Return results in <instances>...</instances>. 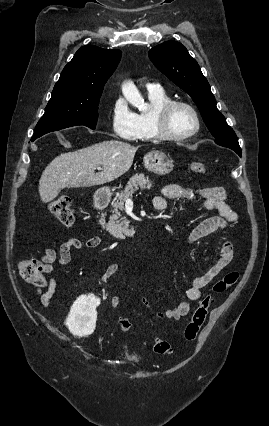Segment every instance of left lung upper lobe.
Here are the masks:
<instances>
[{"instance_id": "5c2ea615", "label": "left lung upper lobe", "mask_w": 269, "mask_h": 426, "mask_svg": "<svg viewBox=\"0 0 269 426\" xmlns=\"http://www.w3.org/2000/svg\"><path fill=\"white\" fill-rule=\"evenodd\" d=\"M153 64L196 103L202 118L220 146L241 149L233 129L216 107V100L196 60L177 41H167L149 51Z\"/></svg>"}]
</instances>
